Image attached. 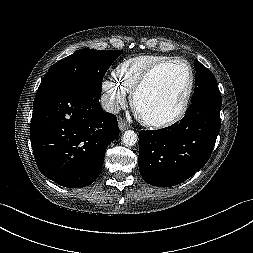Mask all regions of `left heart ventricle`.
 I'll list each match as a JSON object with an SVG mask.
<instances>
[{
	"instance_id": "obj_1",
	"label": "left heart ventricle",
	"mask_w": 253,
	"mask_h": 253,
	"mask_svg": "<svg viewBox=\"0 0 253 253\" xmlns=\"http://www.w3.org/2000/svg\"><path fill=\"white\" fill-rule=\"evenodd\" d=\"M189 84V73L181 63L158 70L137 99V112L147 119H164L180 108Z\"/></svg>"
}]
</instances>
